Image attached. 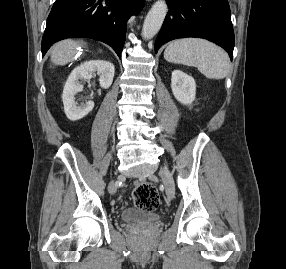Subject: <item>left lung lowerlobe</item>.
I'll use <instances>...</instances> for the list:
<instances>
[{
    "label": "left lung lower lobe",
    "instance_id": "0a47b994",
    "mask_svg": "<svg viewBox=\"0 0 286 269\" xmlns=\"http://www.w3.org/2000/svg\"><path fill=\"white\" fill-rule=\"evenodd\" d=\"M169 11L155 42L161 45L177 38L197 37L224 48L231 60L234 31L228 0H166Z\"/></svg>",
    "mask_w": 286,
    "mask_h": 269
}]
</instances>
